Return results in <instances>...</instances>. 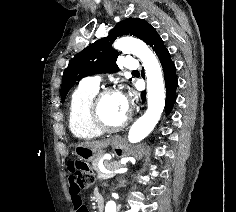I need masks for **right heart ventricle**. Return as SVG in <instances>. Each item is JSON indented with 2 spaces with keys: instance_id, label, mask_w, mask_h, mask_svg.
<instances>
[{
  "instance_id": "obj_1",
  "label": "right heart ventricle",
  "mask_w": 236,
  "mask_h": 212,
  "mask_svg": "<svg viewBox=\"0 0 236 212\" xmlns=\"http://www.w3.org/2000/svg\"><path fill=\"white\" fill-rule=\"evenodd\" d=\"M98 91L83 82L73 91L68 111L69 127L73 135L79 139L88 140L103 134L94 123L91 116V101Z\"/></svg>"
}]
</instances>
